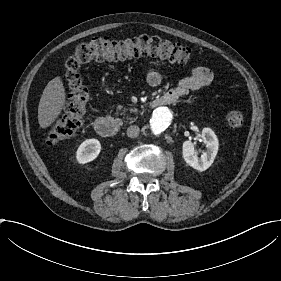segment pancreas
I'll return each mask as SVG.
<instances>
[{
  "label": "pancreas",
  "mask_w": 281,
  "mask_h": 281,
  "mask_svg": "<svg viewBox=\"0 0 281 281\" xmlns=\"http://www.w3.org/2000/svg\"><path fill=\"white\" fill-rule=\"evenodd\" d=\"M130 112H131V113H133V112L137 113V109H136V108H131V109H130ZM122 114H124V112H122Z\"/></svg>",
  "instance_id": "1"
}]
</instances>
